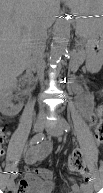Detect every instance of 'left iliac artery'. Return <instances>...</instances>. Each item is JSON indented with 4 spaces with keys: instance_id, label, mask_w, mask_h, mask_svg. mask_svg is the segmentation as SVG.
<instances>
[{
    "instance_id": "1",
    "label": "left iliac artery",
    "mask_w": 103,
    "mask_h": 193,
    "mask_svg": "<svg viewBox=\"0 0 103 193\" xmlns=\"http://www.w3.org/2000/svg\"><path fill=\"white\" fill-rule=\"evenodd\" d=\"M63 129L65 130V132H69L70 131V125L68 124V122L65 119L61 120ZM94 182V178L91 176V174H88V184L92 185Z\"/></svg>"
}]
</instances>
